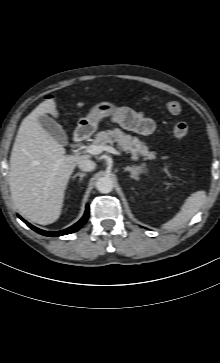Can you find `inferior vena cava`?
I'll list each match as a JSON object with an SVG mask.
<instances>
[{"label":"inferior vena cava","instance_id":"1","mask_svg":"<svg viewBox=\"0 0 220 363\" xmlns=\"http://www.w3.org/2000/svg\"><path fill=\"white\" fill-rule=\"evenodd\" d=\"M78 167L82 170V171H92L96 168V163L89 160V159H81L78 162Z\"/></svg>","mask_w":220,"mask_h":363}]
</instances>
